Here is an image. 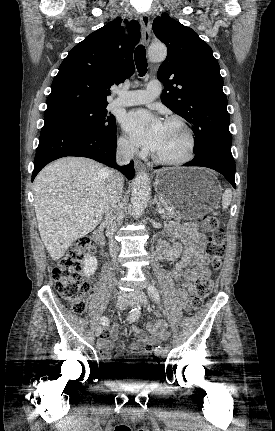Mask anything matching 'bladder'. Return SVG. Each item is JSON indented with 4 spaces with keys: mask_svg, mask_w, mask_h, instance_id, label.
<instances>
[{
    "mask_svg": "<svg viewBox=\"0 0 275 431\" xmlns=\"http://www.w3.org/2000/svg\"><path fill=\"white\" fill-rule=\"evenodd\" d=\"M109 367L108 375L119 383H145L150 379V373L136 363H120L113 360L105 361Z\"/></svg>",
    "mask_w": 275,
    "mask_h": 431,
    "instance_id": "obj_1",
    "label": "bladder"
}]
</instances>
